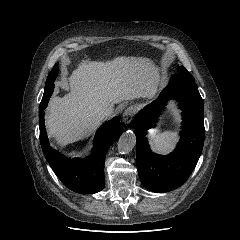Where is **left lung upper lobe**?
I'll return each instance as SVG.
<instances>
[{
    "label": "left lung upper lobe",
    "instance_id": "left-lung-upper-lobe-1",
    "mask_svg": "<svg viewBox=\"0 0 240 240\" xmlns=\"http://www.w3.org/2000/svg\"><path fill=\"white\" fill-rule=\"evenodd\" d=\"M178 76L183 77L185 79L189 80H194L193 76L183 67V66H178Z\"/></svg>",
    "mask_w": 240,
    "mask_h": 240
}]
</instances>
